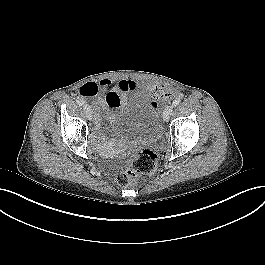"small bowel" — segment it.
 <instances>
[{
  "instance_id": "obj_1",
  "label": "small bowel",
  "mask_w": 265,
  "mask_h": 265,
  "mask_svg": "<svg viewBox=\"0 0 265 265\" xmlns=\"http://www.w3.org/2000/svg\"><path fill=\"white\" fill-rule=\"evenodd\" d=\"M137 82L129 79H123L119 81H112L111 79H102L99 82H86L80 87V95L86 100H92L93 107L96 114L102 109L116 108L122 105V99L125 94L134 86ZM154 94H156L161 101H167L172 93L170 90L164 89L159 84H153L150 86ZM114 95L117 99H112L110 96ZM110 119L113 117L112 113L109 114ZM97 121H99L98 115H96Z\"/></svg>"
}]
</instances>
